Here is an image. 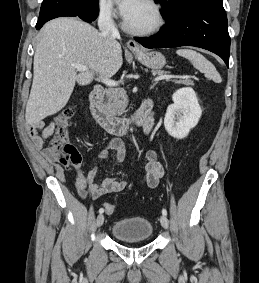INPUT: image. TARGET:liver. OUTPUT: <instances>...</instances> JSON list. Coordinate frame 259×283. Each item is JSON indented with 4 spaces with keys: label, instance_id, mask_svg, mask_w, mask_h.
Here are the masks:
<instances>
[{
    "label": "liver",
    "instance_id": "6515ba94",
    "mask_svg": "<svg viewBox=\"0 0 259 283\" xmlns=\"http://www.w3.org/2000/svg\"><path fill=\"white\" fill-rule=\"evenodd\" d=\"M72 64L85 65L88 70L77 74ZM122 64L120 44H108L88 23L70 17L47 22L35 49L26 122L36 124L56 114L69 101L76 82L80 86L88 85L95 74L109 78Z\"/></svg>",
    "mask_w": 259,
    "mask_h": 283
}]
</instances>
